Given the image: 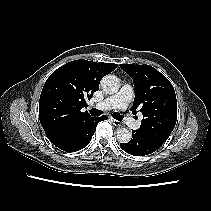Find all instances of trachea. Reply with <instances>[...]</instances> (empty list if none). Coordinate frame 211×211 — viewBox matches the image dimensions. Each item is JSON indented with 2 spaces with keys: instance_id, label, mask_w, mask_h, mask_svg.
Listing matches in <instances>:
<instances>
[{
  "instance_id": "obj_1",
  "label": "trachea",
  "mask_w": 211,
  "mask_h": 211,
  "mask_svg": "<svg viewBox=\"0 0 211 211\" xmlns=\"http://www.w3.org/2000/svg\"><path fill=\"white\" fill-rule=\"evenodd\" d=\"M90 113H91L92 116H100V115H101V112H100L99 110L94 109V108L90 110ZM112 116H113V118H115L116 120H122V119H123V116L120 115V114L117 113V112H114V113L112 114Z\"/></svg>"
}]
</instances>
